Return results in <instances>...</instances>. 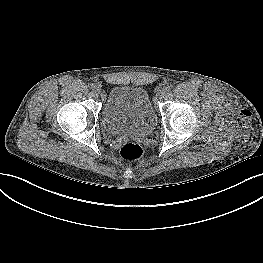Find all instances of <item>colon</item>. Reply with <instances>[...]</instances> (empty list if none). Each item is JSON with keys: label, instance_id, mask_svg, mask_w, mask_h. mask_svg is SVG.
Returning a JSON list of instances; mask_svg holds the SVG:
<instances>
[{"label": "colon", "instance_id": "colon-1", "mask_svg": "<svg viewBox=\"0 0 263 263\" xmlns=\"http://www.w3.org/2000/svg\"><path fill=\"white\" fill-rule=\"evenodd\" d=\"M142 153V148L138 144L133 142L125 143L120 150L121 157L128 161L139 159L142 156Z\"/></svg>", "mask_w": 263, "mask_h": 263}]
</instances>
